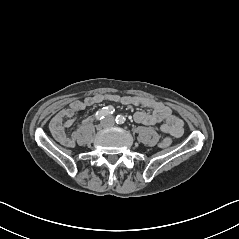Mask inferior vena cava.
Wrapping results in <instances>:
<instances>
[{"label": "inferior vena cava", "mask_w": 239, "mask_h": 239, "mask_svg": "<svg viewBox=\"0 0 239 239\" xmlns=\"http://www.w3.org/2000/svg\"><path fill=\"white\" fill-rule=\"evenodd\" d=\"M114 125V118L112 116H107L101 121V126L103 128H110Z\"/></svg>", "instance_id": "inferior-vena-cava-1"}]
</instances>
